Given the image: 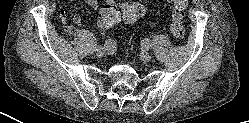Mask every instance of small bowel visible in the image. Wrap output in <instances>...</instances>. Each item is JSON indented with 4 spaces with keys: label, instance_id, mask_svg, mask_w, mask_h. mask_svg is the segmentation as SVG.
Segmentation results:
<instances>
[{
    "label": "small bowel",
    "instance_id": "obj_1",
    "mask_svg": "<svg viewBox=\"0 0 249 123\" xmlns=\"http://www.w3.org/2000/svg\"><path fill=\"white\" fill-rule=\"evenodd\" d=\"M82 1H84L86 4H88L92 8H97L99 4V0H82ZM166 1L171 3V0H166ZM104 2L106 4H111V3H115L116 0H104ZM58 16H59L60 21L63 24L65 31L70 32L73 29V27L70 24L66 23V14L64 10H60ZM72 22L75 25H80L82 23L81 15L78 13H75L72 17Z\"/></svg>",
    "mask_w": 249,
    "mask_h": 123
}]
</instances>
